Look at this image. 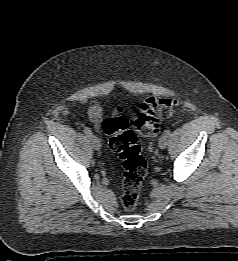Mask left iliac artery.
Segmentation results:
<instances>
[{
	"label": "left iliac artery",
	"instance_id": "left-iliac-artery-1",
	"mask_svg": "<svg viewBox=\"0 0 238 261\" xmlns=\"http://www.w3.org/2000/svg\"><path fill=\"white\" fill-rule=\"evenodd\" d=\"M164 135L170 136V130H165V131H164Z\"/></svg>",
	"mask_w": 238,
	"mask_h": 261
}]
</instances>
